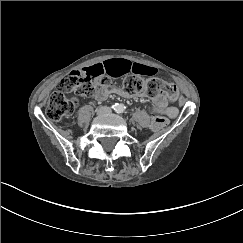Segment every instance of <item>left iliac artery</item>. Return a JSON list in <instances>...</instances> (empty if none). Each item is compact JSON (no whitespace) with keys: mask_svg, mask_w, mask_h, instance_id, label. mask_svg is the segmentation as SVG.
Instances as JSON below:
<instances>
[{"mask_svg":"<svg viewBox=\"0 0 243 243\" xmlns=\"http://www.w3.org/2000/svg\"><path fill=\"white\" fill-rule=\"evenodd\" d=\"M117 111H118L119 113H121V112H122L123 110H121V109H118Z\"/></svg>","mask_w":243,"mask_h":243,"instance_id":"obj_1","label":"left iliac artery"}]
</instances>
